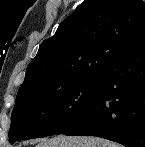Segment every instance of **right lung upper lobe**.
I'll return each mask as SVG.
<instances>
[{
  "instance_id": "obj_1",
  "label": "right lung upper lobe",
  "mask_w": 145,
  "mask_h": 147,
  "mask_svg": "<svg viewBox=\"0 0 145 147\" xmlns=\"http://www.w3.org/2000/svg\"><path fill=\"white\" fill-rule=\"evenodd\" d=\"M145 38L142 0H84L44 40L28 65L18 94L54 91L90 74H101Z\"/></svg>"
}]
</instances>
